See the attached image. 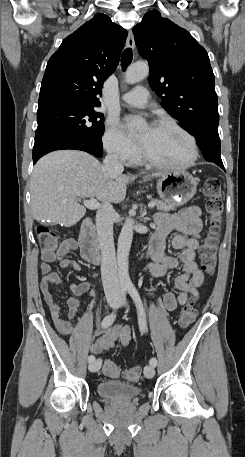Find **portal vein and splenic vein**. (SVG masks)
<instances>
[{"mask_svg":"<svg viewBox=\"0 0 245 457\" xmlns=\"http://www.w3.org/2000/svg\"><path fill=\"white\" fill-rule=\"evenodd\" d=\"M84 206H87V208H92V210H95V208H100V202H98V200H96V198H93V196H91V198H89V200H84L83 202ZM156 202H153V200H151V202H149L148 206H150V208H152V206H155Z\"/></svg>","mask_w":245,"mask_h":457,"instance_id":"18ae733b","label":"portal vein and splenic vein"}]
</instances>
